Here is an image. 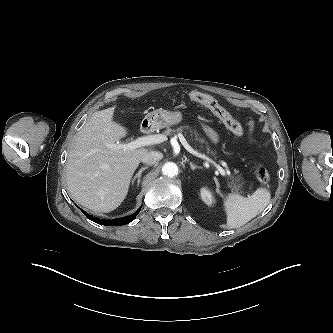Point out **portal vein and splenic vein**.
I'll use <instances>...</instances> for the list:
<instances>
[{
	"label": "portal vein and splenic vein",
	"mask_w": 333,
	"mask_h": 333,
	"mask_svg": "<svg viewBox=\"0 0 333 333\" xmlns=\"http://www.w3.org/2000/svg\"><path fill=\"white\" fill-rule=\"evenodd\" d=\"M178 138H179L181 144L184 146V148L188 152H190L191 154H193V155H195V156H197L199 158H202L204 160H207V161L213 163L216 166V168L218 169V171L220 172V174L222 176H226L225 170L220 165H218L217 163H215L212 159H210L206 155L201 154L198 151L194 150L187 143L186 139L184 138V136L181 133L178 134ZM166 139L167 138L164 135H161V134H159V135H149V136H144V137L137 138L136 140L131 141L130 143H127V144L116 143L113 146L115 148H117V149H122V150H125V151H134L135 149L143 147V146H148V145H154V144L162 143Z\"/></svg>",
	"instance_id": "18ae733b"
}]
</instances>
